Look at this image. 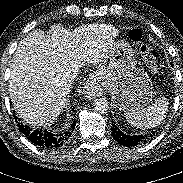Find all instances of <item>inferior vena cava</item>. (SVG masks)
<instances>
[{
  "mask_svg": "<svg viewBox=\"0 0 183 183\" xmlns=\"http://www.w3.org/2000/svg\"><path fill=\"white\" fill-rule=\"evenodd\" d=\"M79 66L78 65H71L68 69L67 75L69 78L74 79L78 75Z\"/></svg>",
  "mask_w": 183,
  "mask_h": 183,
  "instance_id": "602c4592",
  "label": "inferior vena cava"
}]
</instances>
